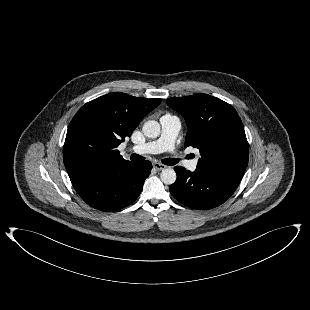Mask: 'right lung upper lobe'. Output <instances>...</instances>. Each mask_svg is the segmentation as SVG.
<instances>
[{
	"label": "right lung upper lobe",
	"instance_id": "cb5924a9",
	"mask_svg": "<svg viewBox=\"0 0 310 310\" xmlns=\"http://www.w3.org/2000/svg\"><path fill=\"white\" fill-rule=\"evenodd\" d=\"M160 102L114 92L82 106L68 127L63 147L70 180L130 163L117 147Z\"/></svg>",
	"mask_w": 310,
	"mask_h": 310
}]
</instances>
